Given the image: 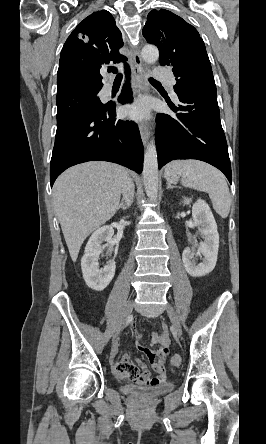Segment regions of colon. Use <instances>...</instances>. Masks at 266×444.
Instances as JSON below:
<instances>
[{"mask_svg":"<svg viewBox=\"0 0 266 444\" xmlns=\"http://www.w3.org/2000/svg\"><path fill=\"white\" fill-rule=\"evenodd\" d=\"M170 362L172 366L177 367L180 364V357L178 355H172Z\"/></svg>","mask_w":266,"mask_h":444,"instance_id":"obj_1","label":"colon"}]
</instances>
